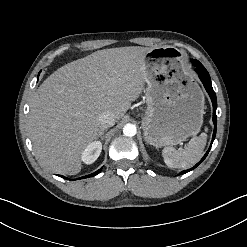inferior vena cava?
<instances>
[{"label":"inferior vena cava","mask_w":247,"mask_h":247,"mask_svg":"<svg viewBox=\"0 0 247 247\" xmlns=\"http://www.w3.org/2000/svg\"><path fill=\"white\" fill-rule=\"evenodd\" d=\"M115 121L116 118L111 112H104L99 115V123L101 129L112 127L115 124Z\"/></svg>","instance_id":"602c4592"}]
</instances>
